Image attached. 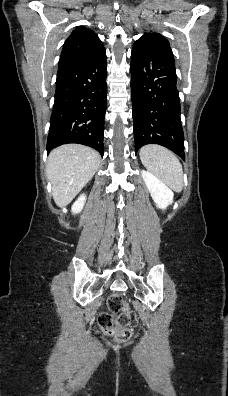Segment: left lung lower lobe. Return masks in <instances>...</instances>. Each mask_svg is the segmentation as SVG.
Listing matches in <instances>:
<instances>
[{
	"mask_svg": "<svg viewBox=\"0 0 228 396\" xmlns=\"http://www.w3.org/2000/svg\"><path fill=\"white\" fill-rule=\"evenodd\" d=\"M175 70L167 48L154 42L134 43L130 71L135 152L153 143L185 159Z\"/></svg>",
	"mask_w": 228,
	"mask_h": 396,
	"instance_id": "0a47b994",
	"label": "left lung lower lobe"
}]
</instances>
